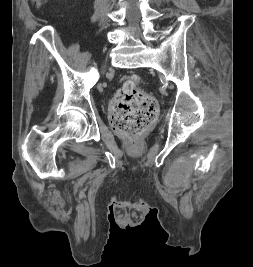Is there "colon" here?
<instances>
[{
  "label": "colon",
  "mask_w": 253,
  "mask_h": 267,
  "mask_svg": "<svg viewBox=\"0 0 253 267\" xmlns=\"http://www.w3.org/2000/svg\"><path fill=\"white\" fill-rule=\"evenodd\" d=\"M34 2L39 5L41 0ZM140 84L141 78L138 75L124 76L111 103L113 130L133 143L152 124L158 109L155 98L141 90Z\"/></svg>",
  "instance_id": "5ec220e1"
}]
</instances>
